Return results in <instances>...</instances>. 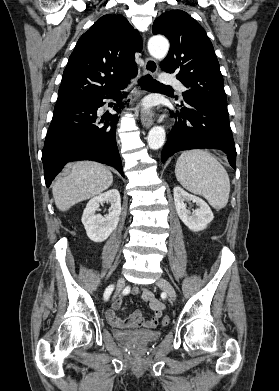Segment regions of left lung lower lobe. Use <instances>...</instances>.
<instances>
[{"label": "left lung lower lobe", "instance_id": "obj_1", "mask_svg": "<svg viewBox=\"0 0 279 391\" xmlns=\"http://www.w3.org/2000/svg\"><path fill=\"white\" fill-rule=\"evenodd\" d=\"M176 108L170 111L177 122L161 153L162 162L178 151L214 148L224 151L236 170V149L228 112L197 99H187L185 106L176 104Z\"/></svg>", "mask_w": 279, "mask_h": 391}]
</instances>
